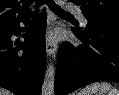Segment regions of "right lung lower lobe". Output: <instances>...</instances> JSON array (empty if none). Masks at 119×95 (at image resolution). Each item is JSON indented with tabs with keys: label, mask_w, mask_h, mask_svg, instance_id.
Returning <instances> with one entry per match:
<instances>
[{
	"label": "right lung lower lobe",
	"mask_w": 119,
	"mask_h": 95,
	"mask_svg": "<svg viewBox=\"0 0 119 95\" xmlns=\"http://www.w3.org/2000/svg\"><path fill=\"white\" fill-rule=\"evenodd\" d=\"M19 23L0 30V87L16 95H40L46 67L45 10L27 30L24 42L12 39L22 30Z\"/></svg>",
	"instance_id": "1"
}]
</instances>
